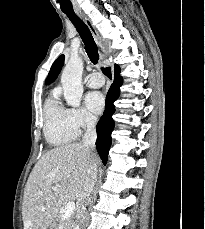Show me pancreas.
<instances>
[{
  "mask_svg": "<svg viewBox=\"0 0 205 229\" xmlns=\"http://www.w3.org/2000/svg\"><path fill=\"white\" fill-rule=\"evenodd\" d=\"M62 224L63 229H72V222L70 219L62 220V214L58 213L55 217V222L51 225L50 229H60Z\"/></svg>",
  "mask_w": 205,
  "mask_h": 229,
  "instance_id": "pancreas-1",
  "label": "pancreas"
}]
</instances>
